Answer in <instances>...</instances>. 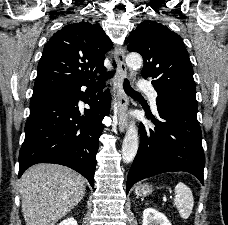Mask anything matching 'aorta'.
<instances>
[{
    "mask_svg": "<svg viewBox=\"0 0 228 225\" xmlns=\"http://www.w3.org/2000/svg\"><path fill=\"white\" fill-rule=\"evenodd\" d=\"M127 66L131 68V76H134V70L140 68L143 64V58L141 54H137V52H130L126 58ZM138 131L136 129L135 123H131L129 125L125 139H123L122 143V159L124 163H131L133 159H135L138 151Z\"/></svg>",
    "mask_w": 228,
    "mask_h": 225,
    "instance_id": "obj_1",
    "label": "aorta"
}]
</instances>
